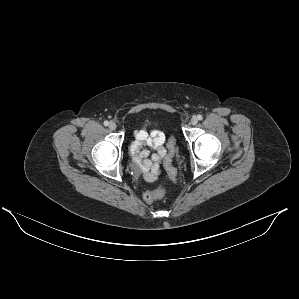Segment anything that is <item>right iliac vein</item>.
I'll return each instance as SVG.
<instances>
[{
	"label": "right iliac vein",
	"instance_id": "1",
	"mask_svg": "<svg viewBox=\"0 0 299 299\" xmlns=\"http://www.w3.org/2000/svg\"><path fill=\"white\" fill-rule=\"evenodd\" d=\"M108 126H109V129H111V130H115L117 127L115 122H110Z\"/></svg>",
	"mask_w": 299,
	"mask_h": 299
}]
</instances>
